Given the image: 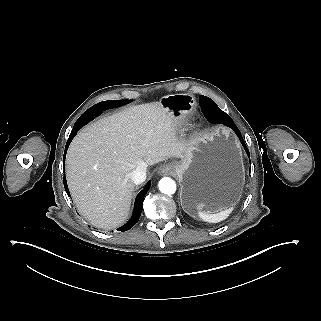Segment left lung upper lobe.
<instances>
[{"label": "left lung upper lobe", "instance_id": "1", "mask_svg": "<svg viewBox=\"0 0 321 321\" xmlns=\"http://www.w3.org/2000/svg\"><path fill=\"white\" fill-rule=\"evenodd\" d=\"M213 103L214 102L210 98L203 95L200 96V106H211Z\"/></svg>", "mask_w": 321, "mask_h": 321}]
</instances>
